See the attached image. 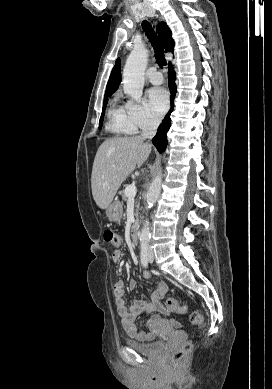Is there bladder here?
I'll return each mask as SVG.
<instances>
[{"mask_svg": "<svg viewBox=\"0 0 272 389\" xmlns=\"http://www.w3.org/2000/svg\"><path fill=\"white\" fill-rule=\"evenodd\" d=\"M126 344L130 348L145 355H157L161 353L166 346L165 342L161 340L153 341L149 343H141V342L133 341L131 339H126Z\"/></svg>", "mask_w": 272, "mask_h": 389, "instance_id": "obj_1", "label": "bladder"}]
</instances>
